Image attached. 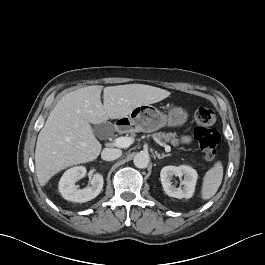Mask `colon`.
Here are the masks:
<instances>
[{
    "mask_svg": "<svg viewBox=\"0 0 265 265\" xmlns=\"http://www.w3.org/2000/svg\"><path fill=\"white\" fill-rule=\"evenodd\" d=\"M196 128L194 136L199 143L203 157L208 161L215 159L221 135L216 129V115L213 110L205 107L195 111Z\"/></svg>",
    "mask_w": 265,
    "mask_h": 265,
    "instance_id": "1",
    "label": "colon"
}]
</instances>
